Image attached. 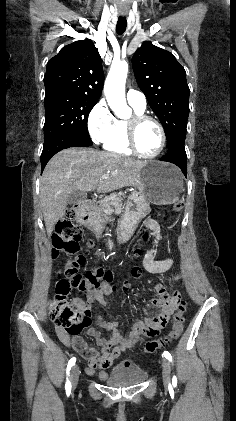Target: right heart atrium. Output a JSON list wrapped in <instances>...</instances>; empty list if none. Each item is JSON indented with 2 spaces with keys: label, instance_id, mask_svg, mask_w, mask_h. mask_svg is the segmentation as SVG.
<instances>
[{
  "label": "right heart atrium",
  "instance_id": "right-heart-atrium-1",
  "mask_svg": "<svg viewBox=\"0 0 236 421\" xmlns=\"http://www.w3.org/2000/svg\"><path fill=\"white\" fill-rule=\"evenodd\" d=\"M115 117L104 100H100L91 109L87 118L89 135L94 144L105 141L113 129Z\"/></svg>",
  "mask_w": 236,
  "mask_h": 421
}]
</instances>
